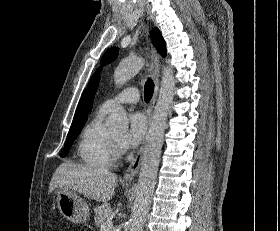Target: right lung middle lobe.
<instances>
[{"label": "right lung middle lobe", "mask_w": 280, "mask_h": 231, "mask_svg": "<svg viewBox=\"0 0 280 231\" xmlns=\"http://www.w3.org/2000/svg\"><path fill=\"white\" fill-rule=\"evenodd\" d=\"M82 128H83V126L76 127V128H70L69 133L67 135V140L64 145L63 153L61 154V157L67 156L74 140L77 138V136L79 135Z\"/></svg>", "instance_id": "dd1d6c3e"}]
</instances>
